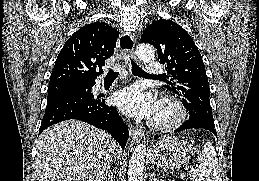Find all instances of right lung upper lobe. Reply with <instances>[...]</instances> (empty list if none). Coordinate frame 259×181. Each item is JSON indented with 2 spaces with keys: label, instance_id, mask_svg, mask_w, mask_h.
<instances>
[{
  "label": "right lung upper lobe",
  "instance_id": "right-lung-upper-lobe-1",
  "mask_svg": "<svg viewBox=\"0 0 259 181\" xmlns=\"http://www.w3.org/2000/svg\"><path fill=\"white\" fill-rule=\"evenodd\" d=\"M119 32L105 22L81 27L64 44L57 56L49 86L95 81L103 73L105 60L114 53ZM99 67V71L96 69Z\"/></svg>",
  "mask_w": 259,
  "mask_h": 181
}]
</instances>
